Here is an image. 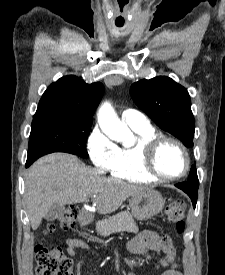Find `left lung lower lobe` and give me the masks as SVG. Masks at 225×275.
Segmentation results:
<instances>
[{"label":"left lung lower lobe","mask_w":225,"mask_h":275,"mask_svg":"<svg viewBox=\"0 0 225 275\" xmlns=\"http://www.w3.org/2000/svg\"><path fill=\"white\" fill-rule=\"evenodd\" d=\"M175 186L183 190L191 198L193 207L195 208L197 202V191L199 183L186 181L183 183L175 184Z\"/></svg>","instance_id":"left-lung-lower-lobe-1"}]
</instances>
